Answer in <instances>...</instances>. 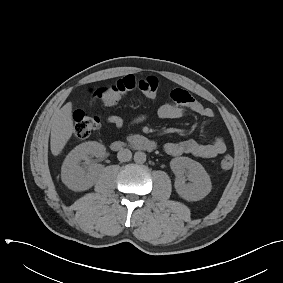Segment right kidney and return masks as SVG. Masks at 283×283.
<instances>
[{"label": "right kidney", "mask_w": 283, "mask_h": 283, "mask_svg": "<svg viewBox=\"0 0 283 283\" xmlns=\"http://www.w3.org/2000/svg\"><path fill=\"white\" fill-rule=\"evenodd\" d=\"M105 147L96 142L89 141L76 146L65 158L61 168L62 182L73 191H84L91 188L97 177V166H89L88 172L80 166L84 160L90 164L91 157H102L105 155Z\"/></svg>", "instance_id": "1"}]
</instances>
